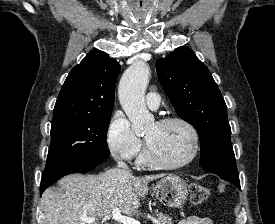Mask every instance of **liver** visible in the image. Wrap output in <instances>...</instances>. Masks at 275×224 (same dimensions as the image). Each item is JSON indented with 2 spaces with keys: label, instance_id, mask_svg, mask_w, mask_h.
<instances>
[{
  "label": "liver",
  "instance_id": "1",
  "mask_svg": "<svg viewBox=\"0 0 275 224\" xmlns=\"http://www.w3.org/2000/svg\"><path fill=\"white\" fill-rule=\"evenodd\" d=\"M165 174L134 177L122 169H109L99 175L71 174L59 181V190L46 189L40 204L45 224H88L82 218H95L92 224L114 209L132 214L148 193V183Z\"/></svg>",
  "mask_w": 275,
  "mask_h": 224
}]
</instances>
